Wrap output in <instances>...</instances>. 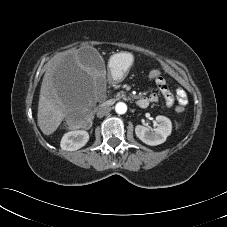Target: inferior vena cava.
Listing matches in <instances>:
<instances>
[{"instance_id":"inferior-vena-cava-1","label":"inferior vena cava","mask_w":227,"mask_h":227,"mask_svg":"<svg viewBox=\"0 0 227 227\" xmlns=\"http://www.w3.org/2000/svg\"><path fill=\"white\" fill-rule=\"evenodd\" d=\"M111 111V107L107 104H101L97 108V117L102 118L105 115H108L109 112Z\"/></svg>"}]
</instances>
